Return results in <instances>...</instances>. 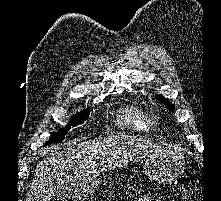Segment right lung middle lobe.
I'll use <instances>...</instances> for the list:
<instances>
[{"instance_id": "1", "label": "right lung middle lobe", "mask_w": 221, "mask_h": 201, "mask_svg": "<svg viewBox=\"0 0 221 201\" xmlns=\"http://www.w3.org/2000/svg\"><path fill=\"white\" fill-rule=\"evenodd\" d=\"M88 118H89V110L88 109L83 110L80 113H77L76 115H74L71 118V124H68L63 130H60L59 132L54 134L45 145H48L51 142H61L62 140H64L65 134L70 129V125L77 126L79 124L84 123V121Z\"/></svg>"}]
</instances>
